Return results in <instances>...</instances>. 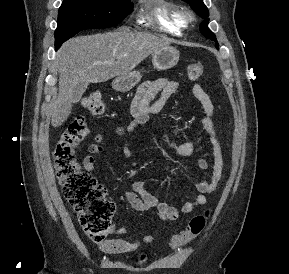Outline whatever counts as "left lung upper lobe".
<instances>
[{"instance_id":"left-lung-upper-lobe-1","label":"left lung upper lobe","mask_w":289,"mask_h":274,"mask_svg":"<svg viewBox=\"0 0 289 274\" xmlns=\"http://www.w3.org/2000/svg\"><path fill=\"white\" fill-rule=\"evenodd\" d=\"M185 2L190 3L191 8L201 17L204 19V21L200 24V31L201 33L209 38L212 41H215L216 48H219V44L216 40V36L214 33L208 28V22H209V11L205 4L203 3V0H183Z\"/></svg>"}]
</instances>
